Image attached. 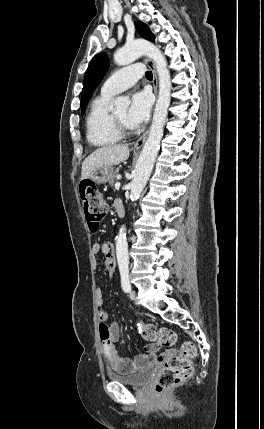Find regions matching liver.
I'll return each instance as SVG.
<instances>
[{
	"mask_svg": "<svg viewBox=\"0 0 264 429\" xmlns=\"http://www.w3.org/2000/svg\"><path fill=\"white\" fill-rule=\"evenodd\" d=\"M130 150L127 144L104 146L92 152L82 163L81 180H85L102 166H113L128 159Z\"/></svg>",
	"mask_w": 264,
	"mask_h": 429,
	"instance_id": "obj_1",
	"label": "liver"
}]
</instances>
